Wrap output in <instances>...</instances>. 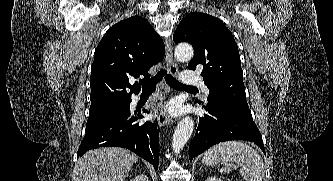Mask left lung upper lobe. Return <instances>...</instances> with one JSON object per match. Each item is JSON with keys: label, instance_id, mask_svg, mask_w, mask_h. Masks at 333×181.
Returning a JSON list of instances; mask_svg holds the SVG:
<instances>
[{"label": "left lung upper lobe", "instance_id": "1", "mask_svg": "<svg viewBox=\"0 0 333 181\" xmlns=\"http://www.w3.org/2000/svg\"><path fill=\"white\" fill-rule=\"evenodd\" d=\"M173 40L193 46L195 53L188 68L196 70L203 66L201 76L209 88L208 101L250 112L238 47L222 21L205 13L191 12L179 23Z\"/></svg>", "mask_w": 333, "mask_h": 181}]
</instances>
